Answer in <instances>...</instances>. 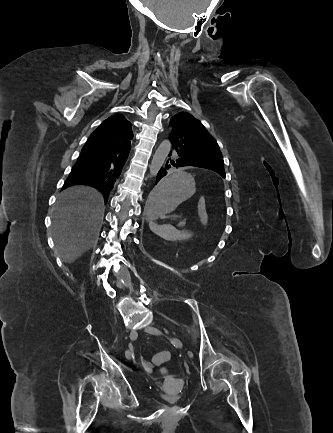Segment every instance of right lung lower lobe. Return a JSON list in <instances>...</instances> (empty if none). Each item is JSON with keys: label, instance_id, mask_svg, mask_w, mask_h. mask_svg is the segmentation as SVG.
<instances>
[{"label": "right lung lower lobe", "instance_id": "obj_1", "mask_svg": "<svg viewBox=\"0 0 333 433\" xmlns=\"http://www.w3.org/2000/svg\"><path fill=\"white\" fill-rule=\"evenodd\" d=\"M94 144L93 139L86 142L63 189L76 184L90 185L102 191L107 202L127 160L130 145L119 149L99 150Z\"/></svg>", "mask_w": 333, "mask_h": 433}]
</instances>
